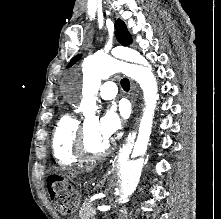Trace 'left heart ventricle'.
<instances>
[{"label": "left heart ventricle", "mask_w": 221, "mask_h": 219, "mask_svg": "<svg viewBox=\"0 0 221 219\" xmlns=\"http://www.w3.org/2000/svg\"><path fill=\"white\" fill-rule=\"evenodd\" d=\"M97 120L89 119L86 124V146L90 152H100L108 143L103 137H101L97 130Z\"/></svg>", "instance_id": "left-heart-ventricle-1"}]
</instances>
